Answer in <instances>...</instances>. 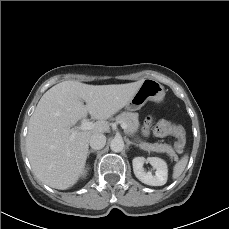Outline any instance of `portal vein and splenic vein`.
Listing matches in <instances>:
<instances>
[{"label":"portal vein and splenic vein","instance_id":"18ae733b","mask_svg":"<svg viewBox=\"0 0 229 229\" xmlns=\"http://www.w3.org/2000/svg\"><path fill=\"white\" fill-rule=\"evenodd\" d=\"M94 127H95V123L90 122L87 119H83L81 125L78 128H75V129L73 128L72 129V135H71L70 139L71 140L73 139V137H74V135H75V133L77 131H79V130H81V131L91 130ZM121 127H122V129L126 130L127 129V124L126 123H121Z\"/></svg>","mask_w":229,"mask_h":229}]
</instances>
